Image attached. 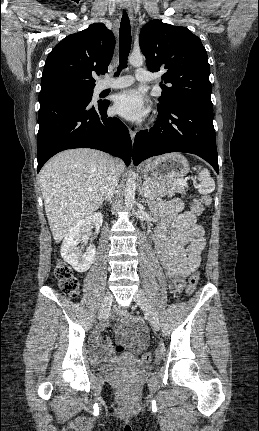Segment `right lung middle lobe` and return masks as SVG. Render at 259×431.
Masks as SVG:
<instances>
[{
    "instance_id": "right-lung-middle-lobe-1",
    "label": "right lung middle lobe",
    "mask_w": 259,
    "mask_h": 431,
    "mask_svg": "<svg viewBox=\"0 0 259 431\" xmlns=\"http://www.w3.org/2000/svg\"><path fill=\"white\" fill-rule=\"evenodd\" d=\"M93 89L80 88L67 82L47 85L39 93V102L43 103L58 97H76L92 99Z\"/></svg>"
}]
</instances>
